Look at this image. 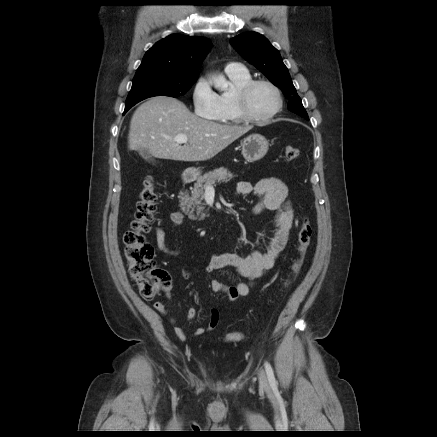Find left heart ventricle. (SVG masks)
Instances as JSON below:
<instances>
[{"label": "left heart ventricle", "mask_w": 437, "mask_h": 437, "mask_svg": "<svg viewBox=\"0 0 437 437\" xmlns=\"http://www.w3.org/2000/svg\"><path fill=\"white\" fill-rule=\"evenodd\" d=\"M277 100L273 90L266 85L256 86L250 94L249 108L253 115L263 117L276 107Z\"/></svg>", "instance_id": "b2bd125f"}]
</instances>
